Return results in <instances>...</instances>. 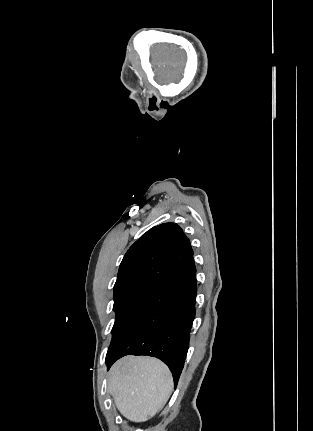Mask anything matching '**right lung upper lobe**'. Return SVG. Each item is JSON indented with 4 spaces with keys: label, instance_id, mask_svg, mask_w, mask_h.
Wrapping results in <instances>:
<instances>
[{
    "label": "right lung upper lobe",
    "instance_id": "cb5924a9",
    "mask_svg": "<svg viewBox=\"0 0 313 431\" xmlns=\"http://www.w3.org/2000/svg\"><path fill=\"white\" fill-rule=\"evenodd\" d=\"M193 256L189 239L175 223L151 228L125 254L114 286V297L149 295Z\"/></svg>",
    "mask_w": 313,
    "mask_h": 431
}]
</instances>
